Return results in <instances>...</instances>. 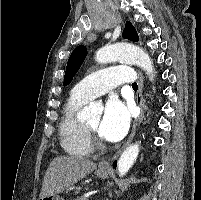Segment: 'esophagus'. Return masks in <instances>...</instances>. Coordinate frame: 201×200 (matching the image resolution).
Instances as JSON below:
<instances>
[{"label":"esophagus","mask_w":201,"mask_h":200,"mask_svg":"<svg viewBox=\"0 0 201 200\" xmlns=\"http://www.w3.org/2000/svg\"><path fill=\"white\" fill-rule=\"evenodd\" d=\"M143 88H144L143 77H142V74L140 72H138V92H137V96H136V101H137L138 106L140 107V114L138 115V117L135 118V120L133 122L131 133H130L128 139L126 140V142L124 143V145L114 154V156L111 159L101 162L99 165L100 169H110L111 161L116 160L121 155L123 150L133 140L135 133H136L138 122L144 115Z\"/></svg>","instance_id":"obj_1"}]
</instances>
